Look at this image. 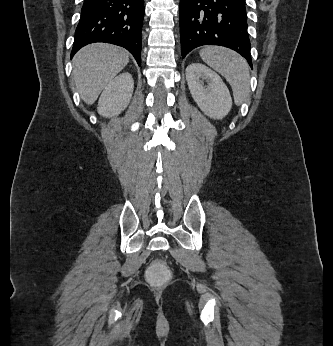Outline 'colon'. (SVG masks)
<instances>
[{"label":"colon","instance_id":"5ec220e1","mask_svg":"<svg viewBox=\"0 0 333 346\" xmlns=\"http://www.w3.org/2000/svg\"><path fill=\"white\" fill-rule=\"evenodd\" d=\"M149 269H145V276L152 288H169V280H172L171 269L164 263L163 257H151Z\"/></svg>","mask_w":333,"mask_h":346}]
</instances>
